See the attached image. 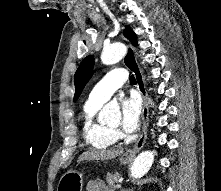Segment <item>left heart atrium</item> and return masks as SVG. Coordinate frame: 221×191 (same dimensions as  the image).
Returning a JSON list of instances; mask_svg holds the SVG:
<instances>
[{"mask_svg":"<svg viewBox=\"0 0 221 191\" xmlns=\"http://www.w3.org/2000/svg\"><path fill=\"white\" fill-rule=\"evenodd\" d=\"M121 126L125 132H135L140 123V103L137 97H124L121 101Z\"/></svg>","mask_w":221,"mask_h":191,"instance_id":"1","label":"left heart atrium"}]
</instances>
